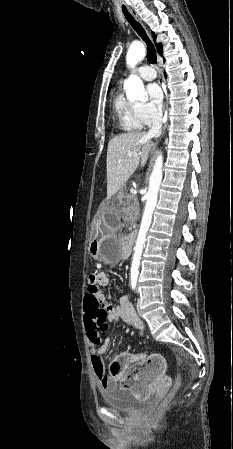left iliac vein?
I'll use <instances>...</instances> for the list:
<instances>
[{"instance_id":"4c4485c4","label":"left iliac vein","mask_w":233,"mask_h":449,"mask_svg":"<svg viewBox=\"0 0 233 449\" xmlns=\"http://www.w3.org/2000/svg\"><path fill=\"white\" fill-rule=\"evenodd\" d=\"M139 305H140V298H138V302H137V308L139 309Z\"/></svg>"}]
</instances>
